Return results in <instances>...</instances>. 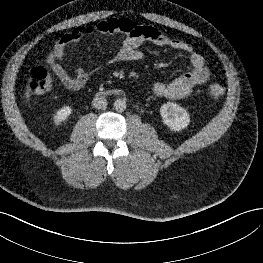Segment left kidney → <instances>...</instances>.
Masks as SVG:
<instances>
[{
    "label": "left kidney",
    "mask_w": 263,
    "mask_h": 263,
    "mask_svg": "<svg viewBox=\"0 0 263 263\" xmlns=\"http://www.w3.org/2000/svg\"><path fill=\"white\" fill-rule=\"evenodd\" d=\"M160 114L164 124L171 130L180 131L187 127L190 117L187 111L175 103H165L160 108Z\"/></svg>",
    "instance_id": "left-kidney-1"
}]
</instances>
